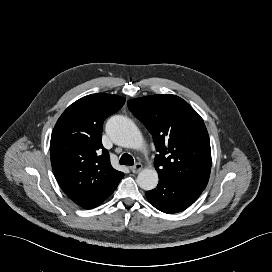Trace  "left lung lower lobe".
Returning a JSON list of instances; mask_svg holds the SVG:
<instances>
[{
	"label": "left lung lower lobe",
	"mask_w": 272,
	"mask_h": 272,
	"mask_svg": "<svg viewBox=\"0 0 272 272\" xmlns=\"http://www.w3.org/2000/svg\"><path fill=\"white\" fill-rule=\"evenodd\" d=\"M203 190L184 181L160 178L157 188L147 191L146 197L158 210L174 214L185 210L194 203Z\"/></svg>",
	"instance_id": "obj_1"
}]
</instances>
